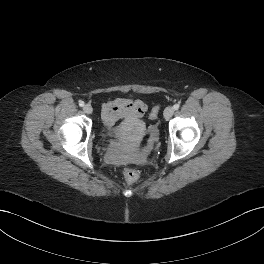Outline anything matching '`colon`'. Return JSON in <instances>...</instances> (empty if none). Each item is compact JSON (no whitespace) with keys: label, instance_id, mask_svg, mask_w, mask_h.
I'll use <instances>...</instances> for the list:
<instances>
[{"label":"colon","instance_id":"colon-1","mask_svg":"<svg viewBox=\"0 0 264 264\" xmlns=\"http://www.w3.org/2000/svg\"><path fill=\"white\" fill-rule=\"evenodd\" d=\"M158 109H159L158 106L153 108L152 112L150 113V119L153 120L156 118L157 113H158ZM152 143H153V138H150L149 143H148V148H150L152 146ZM123 176H124V179L126 180L127 183L132 184L138 179L139 173L137 170H135L133 168L126 167L123 170Z\"/></svg>","mask_w":264,"mask_h":264}]
</instances>
